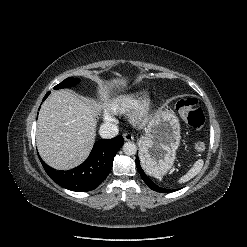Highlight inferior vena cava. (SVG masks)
Masks as SVG:
<instances>
[{"mask_svg": "<svg viewBox=\"0 0 247 247\" xmlns=\"http://www.w3.org/2000/svg\"><path fill=\"white\" fill-rule=\"evenodd\" d=\"M119 129L117 125L106 122L100 126L99 133L102 138L110 139L118 135Z\"/></svg>", "mask_w": 247, "mask_h": 247, "instance_id": "inferior-vena-cava-1", "label": "inferior vena cava"}]
</instances>
